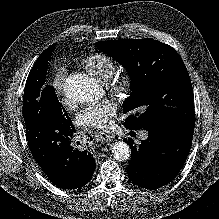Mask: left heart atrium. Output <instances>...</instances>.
Listing matches in <instances>:
<instances>
[{"mask_svg":"<svg viewBox=\"0 0 219 219\" xmlns=\"http://www.w3.org/2000/svg\"><path fill=\"white\" fill-rule=\"evenodd\" d=\"M117 104L112 100H103L85 107L78 114V122L87 128L102 129L110 125L111 119L116 115Z\"/></svg>","mask_w":219,"mask_h":219,"instance_id":"obj_1","label":"left heart atrium"}]
</instances>
